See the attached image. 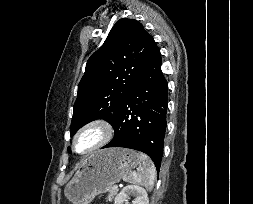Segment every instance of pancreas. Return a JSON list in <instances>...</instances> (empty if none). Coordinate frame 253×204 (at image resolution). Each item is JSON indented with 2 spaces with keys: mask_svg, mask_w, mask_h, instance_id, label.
Instances as JSON below:
<instances>
[{
  "mask_svg": "<svg viewBox=\"0 0 253 204\" xmlns=\"http://www.w3.org/2000/svg\"><path fill=\"white\" fill-rule=\"evenodd\" d=\"M108 196H107V200L112 201V199L115 197V195L118 192V189H115L114 186L111 187L108 191Z\"/></svg>",
  "mask_w": 253,
  "mask_h": 204,
  "instance_id": "1",
  "label": "pancreas"
}]
</instances>
